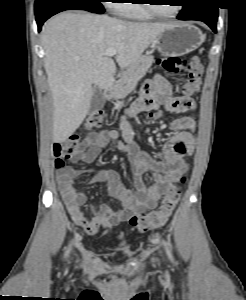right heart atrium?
<instances>
[{
	"label": "right heart atrium",
	"mask_w": 246,
	"mask_h": 300,
	"mask_svg": "<svg viewBox=\"0 0 246 300\" xmlns=\"http://www.w3.org/2000/svg\"><path fill=\"white\" fill-rule=\"evenodd\" d=\"M108 1H109V2H108V6H109L111 9H113V10L116 11L118 4H120V3H118V2L121 1V0H108Z\"/></svg>",
	"instance_id": "d8ad5b80"
}]
</instances>
